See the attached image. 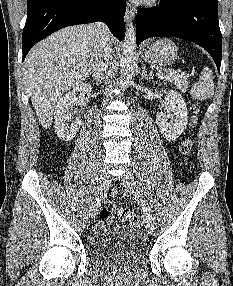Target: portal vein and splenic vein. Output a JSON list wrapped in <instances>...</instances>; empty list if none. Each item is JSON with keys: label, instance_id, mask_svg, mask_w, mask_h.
Returning a JSON list of instances; mask_svg holds the SVG:
<instances>
[{"label": "portal vein and splenic vein", "instance_id": "1", "mask_svg": "<svg viewBox=\"0 0 233 286\" xmlns=\"http://www.w3.org/2000/svg\"><path fill=\"white\" fill-rule=\"evenodd\" d=\"M177 74H179V72H178ZM171 75H172V74H171ZM157 76H158L159 78H163V77H164V75H163V73H162L161 71H159V72L157 73Z\"/></svg>", "mask_w": 233, "mask_h": 286}]
</instances>
